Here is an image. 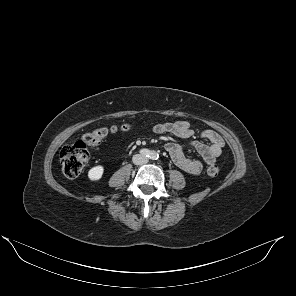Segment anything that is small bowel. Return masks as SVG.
I'll use <instances>...</instances> for the list:
<instances>
[{
  "label": "small bowel",
  "instance_id": "c3829d8e",
  "mask_svg": "<svg viewBox=\"0 0 296 296\" xmlns=\"http://www.w3.org/2000/svg\"><path fill=\"white\" fill-rule=\"evenodd\" d=\"M153 131L157 134H172L182 139H189L194 135L190 123L185 120L156 124L153 127ZM200 137L201 139L207 140L208 144L202 141H192L188 146L193 148L206 164H212L221 155L224 141L222 137L213 130L203 131ZM184 149L185 145L175 142H168L165 145V150L176 166L189 174H199L203 169L202 162L186 157L184 155Z\"/></svg>",
  "mask_w": 296,
  "mask_h": 296
}]
</instances>
